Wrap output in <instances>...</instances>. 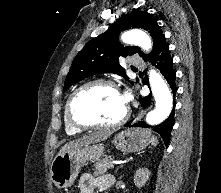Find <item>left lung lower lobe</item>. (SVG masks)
Wrapping results in <instances>:
<instances>
[{"mask_svg":"<svg viewBox=\"0 0 221 193\" xmlns=\"http://www.w3.org/2000/svg\"><path fill=\"white\" fill-rule=\"evenodd\" d=\"M152 61V64L155 65L162 73V75L167 80L173 96L175 98L177 87L175 83L176 79V72L173 69V59L169 52V46L166 41L162 42L156 51L148 58ZM151 94L147 97L140 98L141 106L143 108H147L150 104ZM175 103V101H174ZM174 111H175V104L173 105L172 113L169 117L164 120L162 123L150 126L146 124L144 121H136L133 126L134 127H143V128H151L153 131L159 133L164 140L166 147H168L169 139H170V132L174 125ZM125 126L130 127V123H127Z\"/></svg>","mask_w":221,"mask_h":193,"instance_id":"0a47b994","label":"left lung lower lobe"}]
</instances>
